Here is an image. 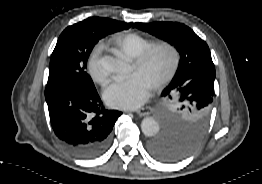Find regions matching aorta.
<instances>
[{
	"label": "aorta",
	"instance_id": "obj_1",
	"mask_svg": "<svg viewBox=\"0 0 262 184\" xmlns=\"http://www.w3.org/2000/svg\"><path fill=\"white\" fill-rule=\"evenodd\" d=\"M123 67L124 65L120 69H116V71H122ZM141 130L145 136L153 137L159 132L160 124L153 117H146L142 120Z\"/></svg>",
	"mask_w": 262,
	"mask_h": 184
}]
</instances>
